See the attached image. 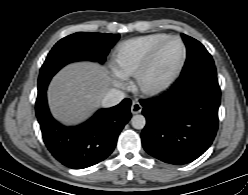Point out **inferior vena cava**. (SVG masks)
Returning a JSON list of instances; mask_svg holds the SVG:
<instances>
[{
	"mask_svg": "<svg viewBox=\"0 0 248 195\" xmlns=\"http://www.w3.org/2000/svg\"><path fill=\"white\" fill-rule=\"evenodd\" d=\"M125 98V94L118 89H110L101 100L103 107H112L120 103Z\"/></svg>",
	"mask_w": 248,
	"mask_h": 195,
	"instance_id": "inferior-vena-cava-1",
	"label": "inferior vena cava"
}]
</instances>
